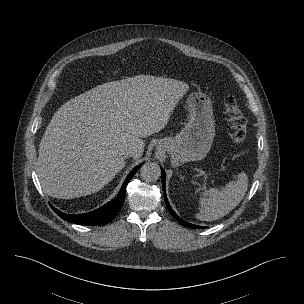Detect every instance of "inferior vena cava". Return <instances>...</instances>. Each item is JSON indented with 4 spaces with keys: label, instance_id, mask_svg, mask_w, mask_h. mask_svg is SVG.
<instances>
[{
    "label": "inferior vena cava",
    "instance_id": "1",
    "mask_svg": "<svg viewBox=\"0 0 304 304\" xmlns=\"http://www.w3.org/2000/svg\"><path fill=\"white\" fill-rule=\"evenodd\" d=\"M137 155V150L134 148H129L128 150H126L125 152V158L128 157H135Z\"/></svg>",
    "mask_w": 304,
    "mask_h": 304
}]
</instances>
